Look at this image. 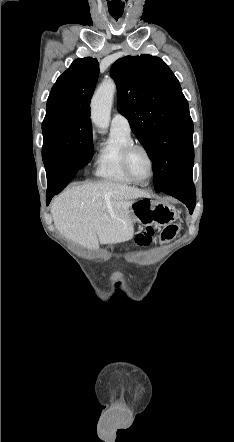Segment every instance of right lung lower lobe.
Returning a JSON list of instances; mask_svg holds the SVG:
<instances>
[{
	"instance_id": "obj_1",
	"label": "right lung lower lobe",
	"mask_w": 234,
	"mask_h": 442,
	"mask_svg": "<svg viewBox=\"0 0 234 442\" xmlns=\"http://www.w3.org/2000/svg\"><path fill=\"white\" fill-rule=\"evenodd\" d=\"M47 173V205L50 203L52 197L61 192L67 184L76 175L79 168H77L70 158L65 157L56 161L49 162L45 165Z\"/></svg>"
}]
</instances>
